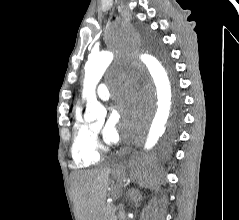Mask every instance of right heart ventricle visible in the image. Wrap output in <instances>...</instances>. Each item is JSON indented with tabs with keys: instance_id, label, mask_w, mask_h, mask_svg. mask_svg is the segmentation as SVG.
Segmentation results:
<instances>
[{
	"instance_id": "right-heart-ventricle-1",
	"label": "right heart ventricle",
	"mask_w": 239,
	"mask_h": 220,
	"mask_svg": "<svg viewBox=\"0 0 239 220\" xmlns=\"http://www.w3.org/2000/svg\"><path fill=\"white\" fill-rule=\"evenodd\" d=\"M71 156L78 168L91 167L100 161L95 135L84 121L80 109L74 115Z\"/></svg>"
}]
</instances>
